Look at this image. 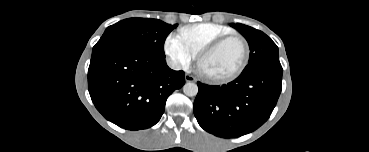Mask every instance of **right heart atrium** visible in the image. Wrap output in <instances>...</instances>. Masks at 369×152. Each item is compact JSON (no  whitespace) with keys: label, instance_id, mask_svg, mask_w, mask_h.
<instances>
[{"label":"right heart atrium","instance_id":"obj_1","mask_svg":"<svg viewBox=\"0 0 369 152\" xmlns=\"http://www.w3.org/2000/svg\"><path fill=\"white\" fill-rule=\"evenodd\" d=\"M164 52L172 64L182 70H187L197 57L180 33H171L167 36L164 42Z\"/></svg>","mask_w":369,"mask_h":152}]
</instances>
